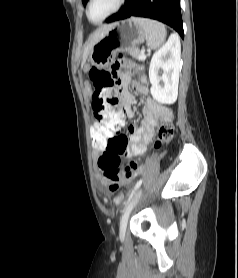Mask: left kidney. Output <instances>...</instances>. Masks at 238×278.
<instances>
[{"label": "left kidney", "mask_w": 238, "mask_h": 278, "mask_svg": "<svg viewBox=\"0 0 238 278\" xmlns=\"http://www.w3.org/2000/svg\"><path fill=\"white\" fill-rule=\"evenodd\" d=\"M181 45L176 35H171L164 46L156 51L149 67L151 95L162 104H173L177 100L180 72ZM160 69L163 74L160 76ZM162 81L163 85L160 84Z\"/></svg>", "instance_id": "left-kidney-1"}]
</instances>
